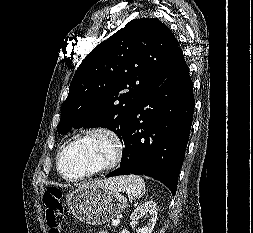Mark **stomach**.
<instances>
[{
  "label": "stomach",
  "mask_w": 253,
  "mask_h": 233,
  "mask_svg": "<svg viewBox=\"0 0 253 233\" xmlns=\"http://www.w3.org/2000/svg\"><path fill=\"white\" fill-rule=\"evenodd\" d=\"M72 214L89 225H102L115 218L127 207V199L104 184L90 183L67 195Z\"/></svg>",
  "instance_id": "1"
}]
</instances>
